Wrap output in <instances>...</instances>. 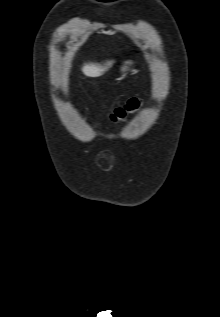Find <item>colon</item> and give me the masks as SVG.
<instances>
[{
    "label": "colon",
    "instance_id": "obj_1",
    "mask_svg": "<svg viewBox=\"0 0 220 317\" xmlns=\"http://www.w3.org/2000/svg\"><path fill=\"white\" fill-rule=\"evenodd\" d=\"M139 98H131L127 103L115 108L110 114V120L114 123L123 122L127 117L136 112L141 106Z\"/></svg>",
    "mask_w": 220,
    "mask_h": 317
}]
</instances>
